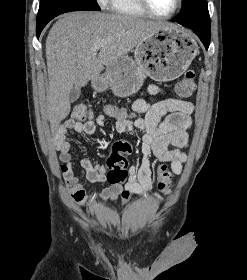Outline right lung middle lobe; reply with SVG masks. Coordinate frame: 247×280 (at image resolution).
Listing matches in <instances>:
<instances>
[{"label":"right lung middle lobe","instance_id":"1","mask_svg":"<svg viewBox=\"0 0 247 280\" xmlns=\"http://www.w3.org/2000/svg\"><path fill=\"white\" fill-rule=\"evenodd\" d=\"M100 11L96 0H41L37 25H46L54 17L70 11Z\"/></svg>","mask_w":247,"mask_h":280}]
</instances>
